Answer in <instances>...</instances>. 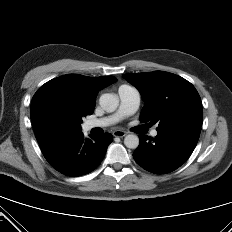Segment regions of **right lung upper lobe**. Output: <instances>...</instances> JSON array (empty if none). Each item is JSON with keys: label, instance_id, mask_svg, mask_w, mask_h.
Returning <instances> with one entry per match:
<instances>
[{"label": "right lung upper lobe", "instance_id": "1", "mask_svg": "<svg viewBox=\"0 0 232 232\" xmlns=\"http://www.w3.org/2000/svg\"><path fill=\"white\" fill-rule=\"evenodd\" d=\"M113 76L87 77L79 74L64 75L42 85L35 93L31 103V121L37 139L51 133L42 123L41 111L50 98L69 99L76 108L91 115L96 104L98 92L115 83ZM80 127L69 126L60 132H78Z\"/></svg>", "mask_w": 232, "mask_h": 232}]
</instances>
